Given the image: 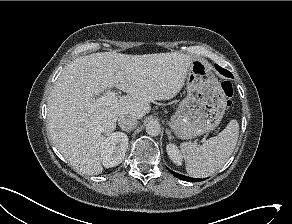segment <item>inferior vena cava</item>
<instances>
[{
  "label": "inferior vena cava",
  "mask_w": 292,
  "mask_h": 224,
  "mask_svg": "<svg viewBox=\"0 0 292 224\" xmlns=\"http://www.w3.org/2000/svg\"><path fill=\"white\" fill-rule=\"evenodd\" d=\"M118 124L122 128V130L130 131V130H133L137 126L138 121L136 117L132 115L124 114V115L119 116Z\"/></svg>",
  "instance_id": "602c4592"
}]
</instances>
